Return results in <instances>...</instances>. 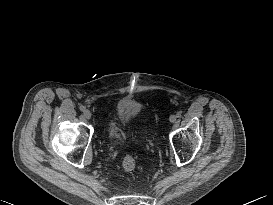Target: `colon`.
Here are the masks:
<instances>
[{
    "label": "colon",
    "instance_id": "1",
    "mask_svg": "<svg viewBox=\"0 0 273 205\" xmlns=\"http://www.w3.org/2000/svg\"><path fill=\"white\" fill-rule=\"evenodd\" d=\"M135 159L130 156V155H127L124 157L123 161H122V169L125 171V172H131L134 170L135 168Z\"/></svg>",
    "mask_w": 273,
    "mask_h": 205
}]
</instances>
